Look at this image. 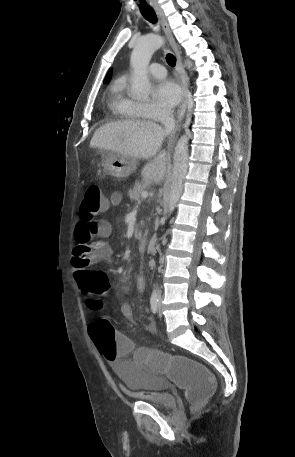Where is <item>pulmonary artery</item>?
<instances>
[{
	"label": "pulmonary artery",
	"instance_id": "e3ab8cb5",
	"mask_svg": "<svg viewBox=\"0 0 295 457\" xmlns=\"http://www.w3.org/2000/svg\"><path fill=\"white\" fill-rule=\"evenodd\" d=\"M149 73L151 76L155 78H163L166 75V70L164 66L158 64V63H153L149 67Z\"/></svg>",
	"mask_w": 295,
	"mask_h": 457
}]
</instances>
